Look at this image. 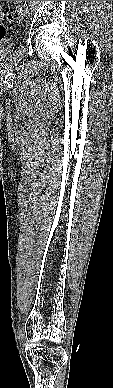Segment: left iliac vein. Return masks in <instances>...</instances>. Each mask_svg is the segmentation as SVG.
<instances>
[{"mask_svg": "<svg viewBox=\"0 0 113 388\" xmlns=\"http://www.w3.org/2000/svg\"><path fill=\"white\" fill-rule=\"evenodd\" d=\"M17 15L20 19H23L28 16L26 7L23 4V1H17Z\"/></svg>", "mask_w": 113, "mask_h": 388, "instance_id": "1", "label": "left iliac vein"}]
</instances>
